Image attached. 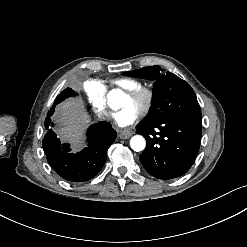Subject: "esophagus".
<instances>
[{
  "label": "esophagus",
  "mask_w": 247,
  "mask_h": 247,
  "mask_svg": "<svg viewBox=\"0 0 247 247\" xmlns=\"http://www.w3.org/2000/svg\"><path fill=\"white\" fill-rule=\"evenodd\" d=\"M120 133H121V137L123 139H128L129 137H131L134 134V132L132 130H129V129H121Z\"/></svg>",
  "instance_id": "esophagus-1"
}]
</instances>
